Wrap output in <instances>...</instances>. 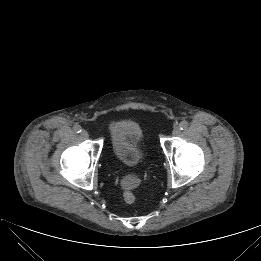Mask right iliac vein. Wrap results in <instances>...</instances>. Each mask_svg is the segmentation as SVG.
Listing matches in <instances>:
<instances>
[{"label": "right iliac vein", "mask_w": 261, "mask_h": 261, "mask_svg": "<svg viewBox=\"0 0 261 261\" xmlns=\"http://www.w3.org/2000/svg\"><path fill=\"white\" fill-rule=\"evenodd\" d=\"M81 135L84 138H87L89 136V134H88V132L86 130H82Z\"/></svg>", "instance_id": "obj_1"}]
</instances>
